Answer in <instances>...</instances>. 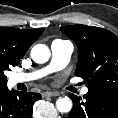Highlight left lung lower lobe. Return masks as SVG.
Segmentation results:
<instances>
[{
    "label": "left lung lower lobe",
    "mask_w": 118,
    "mask_h": 118,
    "mask_svg": "<svg viewBox=\"0 0 118 118\" xmlns=\"http://www.w3.org/2000/svg\"><path fill=\"white\" fill-rule=\"evenodd\" d=\"M73 108L67 118H118V96L88 91L81 97L69 94Z\"/></svg>",
    "instance_id": "obj_1"
}]
</instances>
